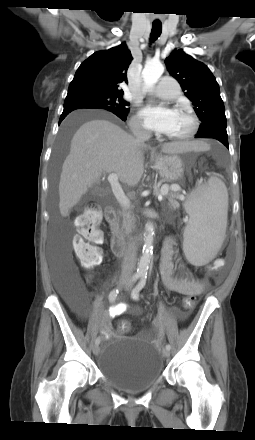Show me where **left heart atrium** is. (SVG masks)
I'll return each mask as SVG.
<instances>
[{
	"instance_id": "obj_1",
	"label": "left heart atrium",
	"mask_w": 255,
	"mask_h": 440,
	"mask_svg": "<svg viewBox=\"0 0 255 440\" xmlns=\"http://www.w3.org/2000/svg\"><path fill=\"white\" fill-rule=\"evenodd\" d=\"M141 115L149 129L167 134L173 126L175 110L149 105L142 110Z\"/></svg>"
}]
</instances>
